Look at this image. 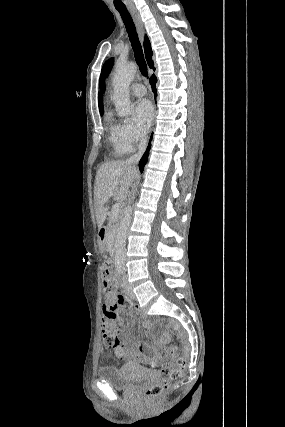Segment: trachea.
<instances>
[{"label":"trachea","instance_id":"3493384b","mask_svg":"<svg viewBox=\"0 0 285 427\" xmlns=\"http://www.w3.org/2000/svg\"><path fill=\"white\" fill-rule=\"evenodd\" d=\"M116 9L124 22L140 72L144 77H147V64L132 17L126 7H116Z\"/></svg>","mask_w":285,"mask_h":427}]
</instances>
